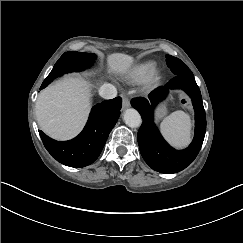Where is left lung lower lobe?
<instances>
[{
    "instance_id": "1",
    "label": "left lung lower lobe",
    "mask_w": 243,
    "mask_h": 243,
    "mask_svg": "<svg viewBox=\"0 0 243 243\" xmlns=\"http://www.w3.org/2000/svg\"><path fill=\"white\" fill-rule=\"evenodd\" d=\"M182 89L192 99L195 110V136L184 150H175L161 136L153 122L156 104L165 98L169 89ZM141 114L143 123L138 131V144L145 162L161 173H176L189 166L198 155L206 132V116L202 97L194 76L175 75L165 86L154 90L149 99L135 98L131 101Z\"/></svg>"
}]
</instances>
